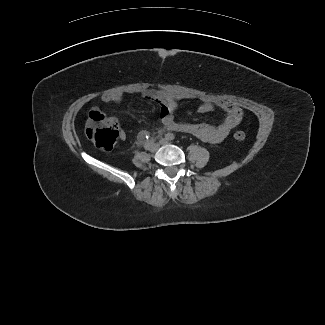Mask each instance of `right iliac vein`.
<instances>
[{
    "label": "right iliac vein",
    "instance_id": "obj_1",
    "mask_svg": "<svg viewBox=\"0 0 325 325\" xmlns=\"http://www.w3.org/2000/svg\"><path fill=\"white\" fill-rule=\"evenodd\" d=\"M158 149H159V144H157V143H153V144L149 147V151L152 152V153L157 152Z\"/></svg>",
    "mask_w": 325,
    "mask_h": 325
}]
</instances>
